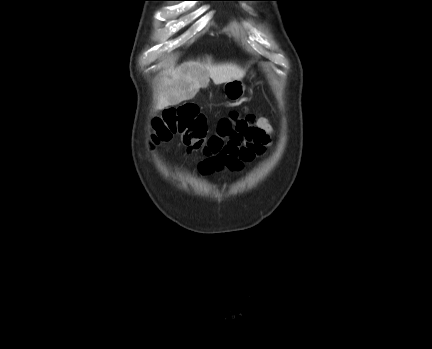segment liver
<instances>
[{
	"mask_svg": "<svg viewBox=\"0 0 432 349\" xmlns=\"http://www.w3.org/2000/svg\"><path fill=\"white\" fill-rule=\"evenodd\" d=\"M246 68L235 63L214 64L211 58L203 62L191 60L175 67L171 64L162 80L157 109L177 105L195 97L200 88L207 87L210 78L219 85L241 80Z\"/></svg>",
	"mask_w": 432,
	"mask_h": 349,
	"instance_id": "1",
	"label": "liver"
}]
</instances>
